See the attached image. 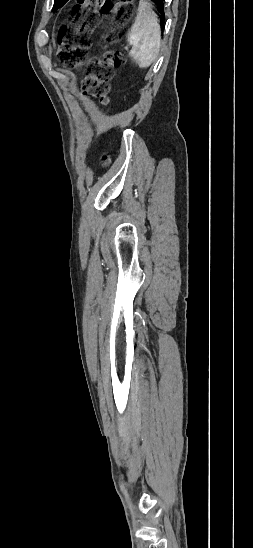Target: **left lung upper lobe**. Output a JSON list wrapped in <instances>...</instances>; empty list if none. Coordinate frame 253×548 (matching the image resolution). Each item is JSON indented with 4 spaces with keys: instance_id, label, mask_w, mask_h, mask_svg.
Returning a JSON list of instances; mask_svg holds the SVG:
<instances>
[{
    "instance_id": "left-lung-upper-lobe-1",
    "label": "left lung upper lobe",
    "mask_w": 253,
    "mask_h": 548,
    "mask_svg": "<svg viewBox=\"0 0 253 548\" xmlns=\"http://www.w3.org/2000/svg\"><path fill=\"white\" fill-rule=\"evenodd\" d=\"M61 1H62V0H55L54 6H53V11H54V7H55L58 3H60Z\"/></svg>"
}]
</instances>
